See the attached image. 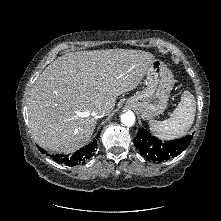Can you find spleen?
Instances as JSON below:
<instances>
[{
    "label": "spleen",
    "instance_id": "3e777b00",
    "mask_svg": "<svg viewBox=\"0 0 221 221\" xmlns=\"http://www.w3.org/2000/svg\"><path fill=\"white\" fill-rule=\"evenodd\" d=\"M196 113V102L189 91H184L181 101L169 119L149 121L151 132L162 140H171L184 136L192 126Z\"/></svg>",
    "mask_w": 221,
    "mask_h": 221
}]
</instances>
